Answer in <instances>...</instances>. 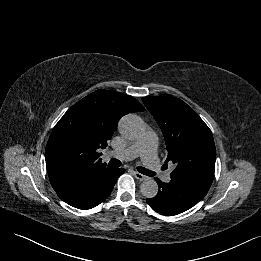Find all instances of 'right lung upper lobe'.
I'll return each instance as SVG.
<instances>
[{
    "label": "right lung upper lobe",
    "mask_w": 261,
    "mask_h": 261,
    "mask_svg": "<svg viewBox=\"0 0 261 261\" xmlns=\"http://www.w3.org/2000/svg\"><path fill=\"white\" fill-rule=\"evenodd\" d=\"M144 110L134 97L103 89L73 105L54 127L46 146V167L53 189L109 168L99 159V150L107 146L122 116Z\"/></svg>",
    "instance_id": "obj_1"
}]
</instances>
